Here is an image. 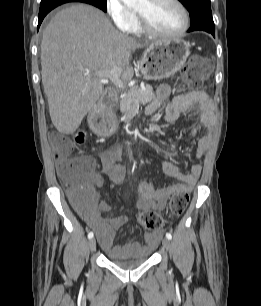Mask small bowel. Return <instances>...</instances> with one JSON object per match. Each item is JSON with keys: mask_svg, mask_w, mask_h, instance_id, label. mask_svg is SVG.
<instances>
[{"mask_svg": "<svg viewBox=\"0 0 261 306\" xmlns=\"http://www.w3.org/2000/svg\"><path fill=\"white\" fill-rule=\"evenodd\" d=\"M171 89L168 85L158 88L157 97L148 104L145 115L155 113L169 98ZM183 113H187V119L192 123L190 136L196 135L200 130H206L198 142L195 159L189 173H182L177 165L171 161H165L164 177L180 182L165 186H157V181H139L137 185L138 207L142 210H163L168 199L176 192H190L202 171L201 161L211 144V130L214 125L213 103L202 91L190 92L174 97L165 107L164 120L173 122ZM123 146H115L107 150L101 158L103 173L114 183L121 184L125 177V167L121 164ZM57 167L64 164L65 160L58 154ZM88 167V186L92 195L83 202L81 215L84 221L94 230L102 249L113 256H121L125 253L137 254L143 250L154 249L162 238V232H152L146 235V244L130 242L123 246H113L116 231L127 221V216L104 217L103 213L110 211L111 206L107 201L99 200L96 189L103 185V176L96 170L95 161L91 157H82Z\"/></svg>", "mask_w": 261, "mask_h": 306, "instance_id": "c3829d8e", "label": "small bowel"}]
</instances>
